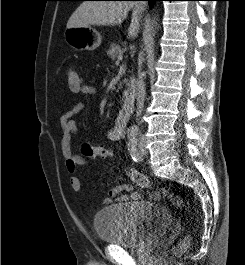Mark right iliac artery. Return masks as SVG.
<instances>
[{"label": "right iliac artery", "mask_w": 245, "mask_h": 265, "mask_svg": "<svg viewBox=\"0 0 245 265\" xmlns=\"http://www.w3.org/2000/svg\"><path fill=\"white\" fill-rule=\"evenodd\" d=\"M133 136H135V133H134L133 131H130V132L128 133V137L131 138V137H133Z\"/></svg>", "instance_id": "82829eb1"}]
</instances>
